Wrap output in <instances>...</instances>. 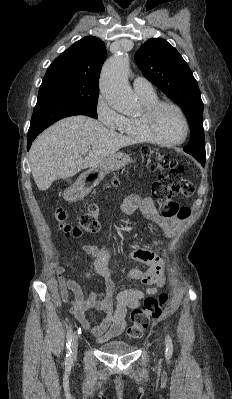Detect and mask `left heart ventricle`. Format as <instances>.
<instances>
[{
  "label": "left heart ventricle",
  "instance_id": "obj_1",
  "mask_svg": "<svg viewBox=\"0 0 232 399\" xmlns=\"http://www.w3.org/2000/svg\"><path fill=\"white\" fill-rule=\"evenodd\" d=\"M157 134L171 141H179L184 137L185 126L178 112L171 107H163L154 119Z\"/></svg>",
  "mask_w": 232,
  "mask_h": 399
}]
</instances>
